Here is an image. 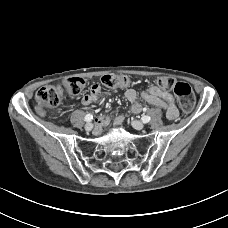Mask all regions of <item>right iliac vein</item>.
<instances>
[{
  "label": "right iliac vein",
  "instance_id": "right-iliac-vein-1",
  "mask_svg": "<svg viewBox=\"0 0 228 228\" xmlns=\"http://www.w3.org/2000/svg\"><path fill=\"white\" fill-rule=\"evenodd\" d=\"M84 128H85L86 131H91L92 128H93V124L90 123V122L86 123Z\"/></svg>",
  "mask_w": 228,
  "mask_h": 228
}]
</instances>
